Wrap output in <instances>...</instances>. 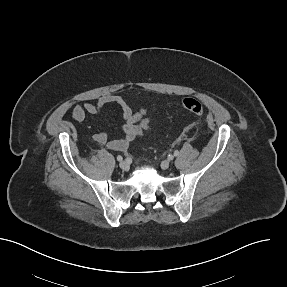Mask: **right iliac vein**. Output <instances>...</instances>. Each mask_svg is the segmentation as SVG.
<instances>
[{
  "label": "right iliac vein",
  "mask_w": 287,
  "mask_h": 287,
  "mask_svg": "<svg viewBox=\"0 0 287 287\" xmlns=\"http://www.w3.org/2000/svg\"><path fill=\"white\" fill-rule=\"evenodd\" d=\"M119 166L123 171L129 170V163L127 161H121Z\"/></svg>",
  "instance_id": "obj_1"
}]
</instances>
